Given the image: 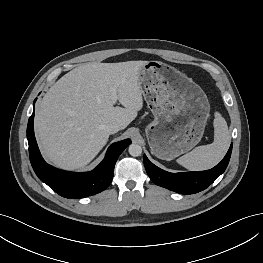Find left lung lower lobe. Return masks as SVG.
Wrapping results in <instances>:
<instances>
[{
  "instance_id": "1",
  "label": "left lung lower lobe",
  "mask_w": 263,
  "mask_h": 263,
  "mask_svg": "<svg viewBox=\"0 0 263 263\" xmlns=\"http://www.w3.org/2000/svg\"><path fill=\"white\" fill-rule=\"evenodd\" d=\"M232 144L223 160L214 168L199 172L169 173L155 166L144 155L145 169L150 179L157 185L180 194H194L206 189L228 166Z\"/></svg>"
}]
</instances>
